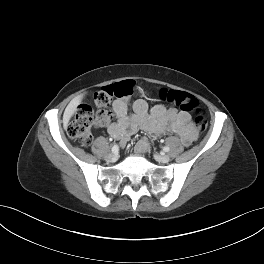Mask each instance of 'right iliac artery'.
<instances>
[{
	"label": "right iliac artery",
	"mask_w": 264,
	"mask_h": 264,
	"mask_svg": "<svg viewBox=\"0 0 264 264\" xmlns=\"http://www.w3.org/2000/svg\"><path fill=\"white\" fill-rule=\"evenodd\" d=\"M112 153H117L119 151V147L117 144H115L112 149H111Z\"/></svg>",
	"instance_id": "82829eb1"
}]
</instances>
